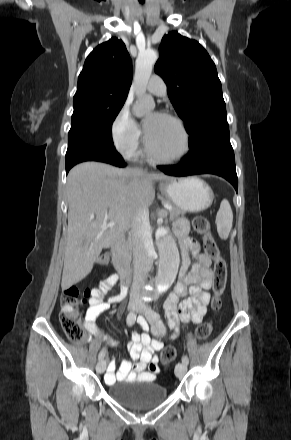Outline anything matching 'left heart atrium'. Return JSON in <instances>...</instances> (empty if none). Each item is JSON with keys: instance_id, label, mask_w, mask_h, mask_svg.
I'll return each instance as SVG.
<instances>
[{"instance_id": "39dd6f15", "label": "left heart atrium", "mask_w": 291, "mask_h": 440, "mask_svg": "<svg viewBox=\"0 0 291 440\" xmlns=\"http://www.w3.org/2000/svg\"><path fill=\"white\" fill-rule=\"evenodd\" d=\"M160 114H155V116H159Z\"/></svg>"}]
</instances>
